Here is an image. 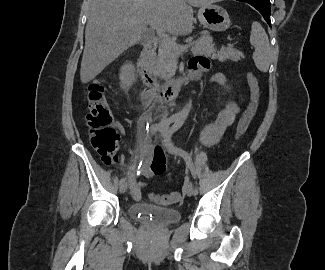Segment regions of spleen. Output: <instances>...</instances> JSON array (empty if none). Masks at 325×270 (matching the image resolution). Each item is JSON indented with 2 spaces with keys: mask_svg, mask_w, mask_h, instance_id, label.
Masks as SVG:
<instances>
[{
  "mask_svg": "<svg viewBox=\"0 0 325 270\" xmlns=\"http://www.w3.org/2000/svg\"><path fill=\"white\" fill-rule=\"evenodd\" d=\"M250 43L255 48L253 60L256 67L262 72H267L270 66L271 48L268 36L259 22L252 23Z\"/></svg>",
  "mask_w": 325,
  "mask_h": 270,
  "instance_id": "3e777b00",
  "label": "spleen"
}]
</instances>
